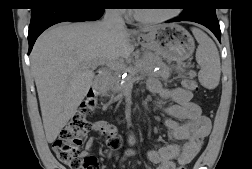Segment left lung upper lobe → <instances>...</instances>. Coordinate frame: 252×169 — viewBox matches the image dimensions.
<instances>
[{
    "label": "left lung upper lobe",
    "instance_id": "5c2ea615",
    "mask_svg": "<svg viewBox=\"0 0 252 169\" xmlns=\"http://www.w3.org/2000/svg\"><path fill=\"white\" fill-rule=\"evenodd\" d=\"M188 7L184 8L181 16L215 13L214 0H188Z\"/></svg>",
    "mask_w": 252,
    "mask_h": 169
}]
</instances>
